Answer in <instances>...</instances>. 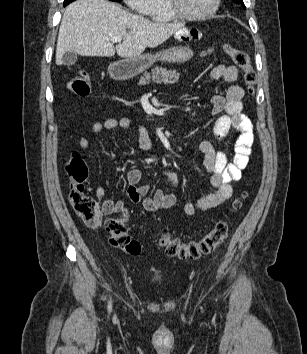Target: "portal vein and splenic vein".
I'll list each match as a JSON object with an SVG mask.
<instances>
[{"instance_id": "portal-vein-and-splenic-vein-1", "label": "portal vein and splenic vein", "mask_w": 307, "mask_h": 354, "mask_svg": "<svg viewBox=\"0 0 307 354\" xmlns=\"http://www.w3.org/2000/svg\"><path fill=\"white\" fill-rule=\"evenodd\" d=\"M110 40H111V42H113V43H119V42L122 41V37H120V36H112V37L110 38Z\"/></svg>"}]
</instances>
